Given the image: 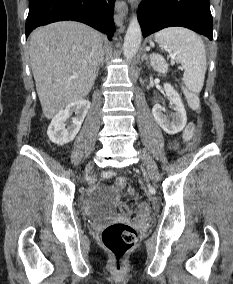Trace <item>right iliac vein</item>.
Returning a JSON list of instances; mask_svg holds the SVG:
<instances>
[{"instance_id":"1","label":"right iliac vein","mask_w":233,"mask_h":284,"mask_svg":"<svg viewBox=\"0 0 233 284\" xmlns=\"http://www.w3.org/2000/svg\"><path fill=\"white\" fill-rule=\"evenodd\" d=\"M89 168H92V165H90ZM88 176H89V173L85 172L84 175L82 176V179L86 180Z\"/></svg>"}]
</instances>
